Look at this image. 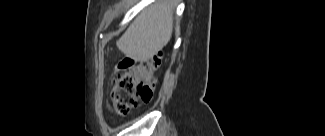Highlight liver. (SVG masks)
Instances as JSON below:
<instances>
[{"label": "liver", "instance_id": "obj_1", "mask_svg": "<svg viewBox=\"0 0 325 136\" xmlns=\"http://www.w3.org/2000/svg\"><path fill=\"white\" fill-rule=\"evenodd\" d=\"M178 0H156L142 11L117 41L118 49L136 61H147L171 39Z\"/></svg>", "mask_w": 325, "mask_h": 136}]
</instances>
